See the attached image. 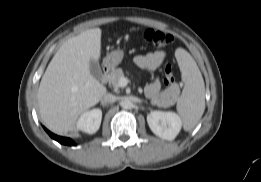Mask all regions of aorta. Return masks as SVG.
Wrapping results in <instances>:
<instances>
[{"instance_id": "762f6f07", "label": "aorta", "mask_w": 261, "mask_h": 182, "mask_svg": "<svg viewBox=\"0 0 261 182\" xmlns=\"http://www.w3.org/2000/svg\"><path fill=\"white\" fill-rule=\"evenodd\" d=\"M133 106L132 102L129 99H125L121 102V107L123 109H131Z\"/></svg>"}]
</instances>
